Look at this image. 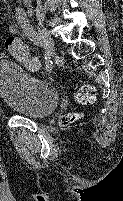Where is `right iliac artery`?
Returning <instances> with one entry per match:
<instances>
[{
    "label": "right iliac artery",
    "mask_w": 123,
    "mask_h": 201,
    "mask_svg": "<svg viewBox=\"0 0 123 201\" xmlns=\"http://www.w3.org/2000/svg\"><path fill=\"white\" fill-rule=\"evenodd\" d=\"M15 15H16L17 20L21 24L24 34L28 37V39L30 41H32L34 44H36L44 49V51H45L44 55H45V60H46V62H45L46 70L48 72H50L53 68V62L50 59V56H51L50 52L47 50L46 46L43 43L42 36L40 34H38L33 29V27L29 24L26 12L22 8H20V7L16 8Z\"/></svg>",
    "instance_id": "82829eb1"
}]
</instances>
